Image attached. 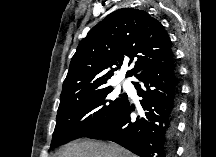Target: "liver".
<instances>
[{
	"instance_id": "1",
	"label": "liver",
	"mask_w": 216,
	"mask_h": 157,
	"mask_svg": "<svg viewBox=\"0 0 216 157\" xmlns=\"http://www.w3.org/2000/svg\"><path fill=\"white\" fill-rule=\"evenodd\" d=\"M54 157H135L115 143L83 141L67 144Z\"/></svg>"
}]
</instances>
